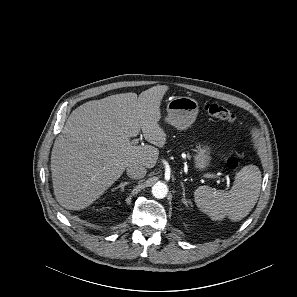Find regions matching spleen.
I'll return each mask as SVG.
<instances>
[{
    "mask_svg": "<svg viewBox=\"0 0 297 297\" xmlns=\"http://www.w3.org/2000/svg\"><path fill=\"white\" fill-rule=\"evenodd\" d=\"M261 171L255 165L244 166L235 176L229 191L200 186L194 192L197 207L212 220L228 216L232 221L246 217L254 208L261 189Z\"/></svg>",
    "mask_w": 297,
    "mask_h": 297,
    "instance_id": "obj_1",
    "label": "spleen"
}]
</instances>
